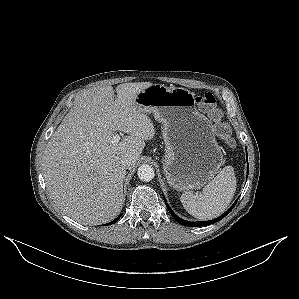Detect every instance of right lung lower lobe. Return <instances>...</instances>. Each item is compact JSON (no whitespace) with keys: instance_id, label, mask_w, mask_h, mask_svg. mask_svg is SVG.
Masks as SVG:
<instances>
[{"instance_id":"98d812e1","label":"right lung lower lobe","mask_w":299,"mask_h":299,"mask_svg":"<svg viewBox=\"0 0 299 299\" xmlns=\"http://www.w3.org/2000/svg\"><path fill=\"white\" fill-rule=\"evenodd\" d=\"M120 217H121V215L119 217H117L115 220H113L112 222L108 223L107 225L115 223L117 220H119Z\"/></svg>"}]
</instances>
